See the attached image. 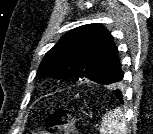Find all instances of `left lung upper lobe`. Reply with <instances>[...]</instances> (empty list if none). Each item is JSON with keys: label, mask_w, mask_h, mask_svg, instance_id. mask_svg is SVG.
I'll list each match as a JSON object with an SVG mask.
<instances>
[{"label": "left lung upper lobe", "mask_w": 153, "mask_h": 134, "mask_svg": "<svg viewBox=\"0 0 153 134\" xmlns=\"http://www.w3.org/2000/svg\"><path fill=\"white\" fill-rule=\"evenodd\" d=\"M43 78L91 80L110 89L122 87L117 46L100 24H87L66 33L37 70Z\"/></svg>", "instance_id": "left-lung-upper-lobe-1"}]
</instances>
